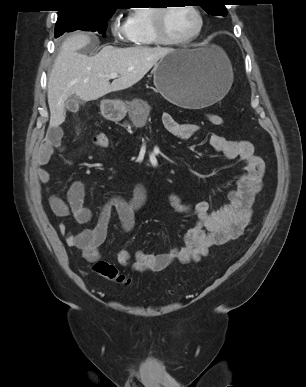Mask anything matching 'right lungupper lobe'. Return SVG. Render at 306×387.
Here are the masks:
<instances>
[{"label":"right lung upper lobe","mask_w":306,"mask_h":387,"mask_svg":"<svg viewBox=\"0 0 306 387\" xmlns=\"http://www.w3.org/2000/svg\"><path fill=\"white\" fill-rule=\"evenodd\" d=\"M59 13L67 11L116 10V0H62Z\"/></svg>","instance_id":"cb5924a9"}]
</instances>
